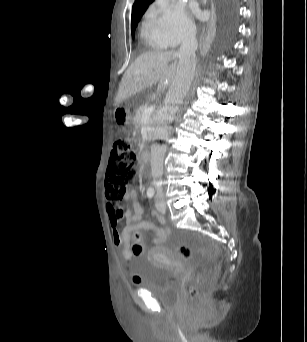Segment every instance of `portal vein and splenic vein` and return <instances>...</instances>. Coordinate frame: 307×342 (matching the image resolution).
Returning <instances> with one entry per match:
<instances>
[{"mask_svg":"<svg viewBox=\"0 0 307 342\" xmlns=\"http://www.w3.org/2000/svg\"><path fill=\"white\" fill-rule=\"evenodd\" d=\"M156 106H157V105H156L155 103H153L152 105H148V107H147L148 112H145V113L143 114V117H144L145 119H148V118L152 115V112H155Z\"/></svg>","mask_w":307,"mask_h":342,"instance_id":"18ae733b","label":"portal vein and splenic vein"}]
</instances>
